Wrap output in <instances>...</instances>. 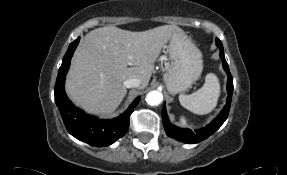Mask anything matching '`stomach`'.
Listing matches in <instances>:
<instances>
[{"label": "stomach", "mask_w": 287, "mask_h": 175, "mask_svg": "<svg viewBox=\"0 0 287 175\" xmlns=\"http://www.w3.org/2000/svg\"><path fill=\"white\" fill-rule=\"evenodd\" d=\"M167 51L171 59L164 73V82L170 94L183 92L200 77L203 69L202 54L183 32L169 40Z\"/></svg>", "instance_id": "stomach-1"}]
</instances>
